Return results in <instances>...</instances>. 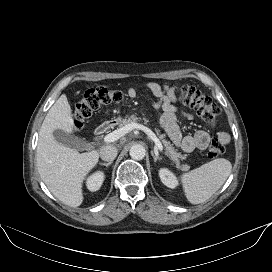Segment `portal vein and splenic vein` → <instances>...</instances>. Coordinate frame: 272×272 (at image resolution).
Instances as JSON below:
<instances>
[{"label": "portal vein and splenic vein", "mask_w": 272, "mask_h": 272, "mask_svg": "<svg viewBox=\"0 0 272 272\" xmlns=\"http://www.w3.org/2000/svg\"><path fill=\"white\" fill-rule=\"evenodd\" d=\"M133 129H138V130H142L143 132H145L155 143V147L159 150V151H163V145L161 144L160 140L157 138V136L152 132V130H150L148 127L138 124L136 122H132L130 124H127L125 126H123L120 129H117L109 134H107L104 138H103V142L104 143H112L118 139H120L121 137H123L124 135H126L128 132H130Z\"/></svg>", "instance_id": "obj_1"}]
</instances>
